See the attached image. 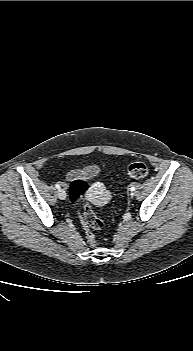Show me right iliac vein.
<instances>
[{"label": "right iliac vein", "mask_w": 193, "mask_h": 351, "mask_svg": "<svg viewBox=\"0 0 193 351\" xmlns=\"http://www.w3.org/2000/svg\"><path fill=\"white\" fill-rule=\"evenodd\" d=\"M58 197L62 200H64L66 198V193L63 189L58 190Z\"/></svg>", "instance_id": "63e3f726"}]
</instances>
